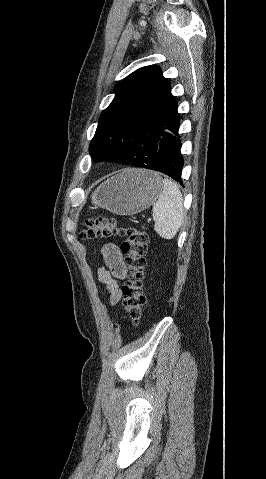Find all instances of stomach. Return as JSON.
I'll list each match as a JSON object with an SVG mask.
<instances>
[{
    "mask_svg": "<svg viewBox=\"0 0 266 479\" xmlns=\"http://www.w3.org/2000/svg\"><path fill=\"white\" fill-rule=\"evenodd\" d=\"M159 174L126 169L102 183L92 194V204L119 215H134L151 206L162 191Z\"/></svg>",
    "mask_w": 266,
    "mask_h": 479,
    "instance_id": "1",
    "label": "stomach"
}]
</instances>
